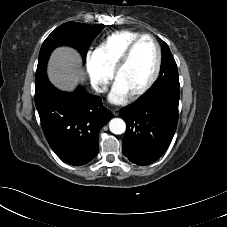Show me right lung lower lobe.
<instances>
[{
    "label": "right lung lower lobe",
    "mask_w": 227,
    "mask_h": 227,
    "mask_svg": "<svg viewBox=\"0 0 227 227\" xmlns=\"http://www.w3.org/2000/svg\"><path fill=\"white\" fill-rule=\"evenodd\" d=\"M35 104L45 137L59 158L81 166L98 154L99 131L112 118L100 97L81 86L61 92L42 73L36 76Z\"/></svg>",
    "instance_id": "obj_1"
}]
</instances>
